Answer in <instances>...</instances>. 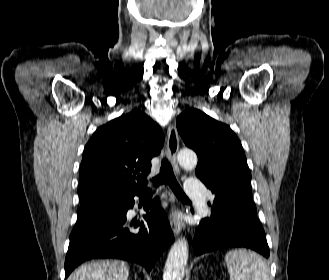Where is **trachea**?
<instances>
[{"label": "trachea", "instance_id": "obj_1", "mask_svg": "<svg viewBox=\"0 0 329 280\" xmlns=\"http://www.w3.org/2000/svg\"><path fill=\"white\" fill-rule=\"evenodd\" d=\"M155 187L167 183L174 194L181 200L190 202L179 183L176 180L172 166L167 158L162 160V165L160 169V174L153 179Z\"/></svg>", "mask_w": 329, "mask_h": 280}]
</instances>
